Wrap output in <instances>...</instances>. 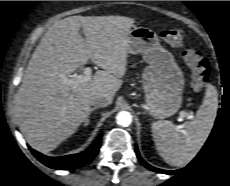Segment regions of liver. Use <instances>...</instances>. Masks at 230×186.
Segmentation results:
<instances>
[{
	"instance_id": "obj_1",
	"label": "liver",
	"mask_w": 230,
	"mask_h": 186,
	"mask_svg": "<svg viewBox=\"0 0 230 186\" xmlns=\"http://www.w3.org/2000/svg\"><path fill=\"white\" fill-rule=\"evenodd\" d=\"M134 22L126 16H70L49 27L15 100L20 130L33 149L48 153L74 134L91 112L92 96L104 94L112 102L127 71ZM89 59L103 70L88 82L69 85L65 79Z\"/></svg>"
}]
</instances>
